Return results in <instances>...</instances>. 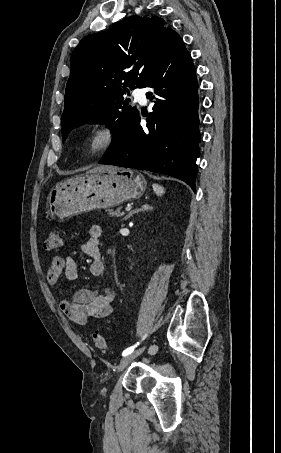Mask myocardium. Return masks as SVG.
Returning a JSON list of instances; mask_svg holds the SVG:
<instances>
[{"label":"myocardium","instance_id":"obj_1","mask_svg":"<svg viewBox=\"0 0 281 453\" xmlns=\"http://www.w3.org/2000/svg\"><path fill=\"white\" fill-rule=\"evenodd\" d=\"M115 140L113 129L107 125H96L83 138L84 146L90 153H99L110 147Z\"/></svg>","mask_w":281,"mask_h":453}]
</instances>
